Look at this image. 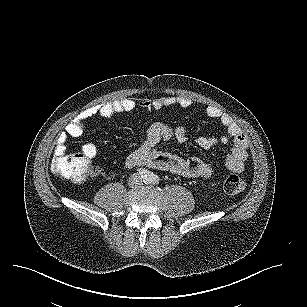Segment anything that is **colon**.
I'll return each instance as SVG.
<instances>
[{"label": "colon", "mask_w": 307, "mask_h": 307, "mask_svg": "<svg viewBox=\"0 0 307 307\" xmlns=\"http://www.w3.org/2000/svg\"><path fill=\"white\" fill-rule=\"evenodd\" d=\"M52 169L56 175L75 182H82L98 173L88 158L77 152L55 157ZM222 185L224 191L231 195L243 192L247 186L245 179L237 174L226 175Z\"/></svg>", "instance_id": "colon-1"}]
</instances>
